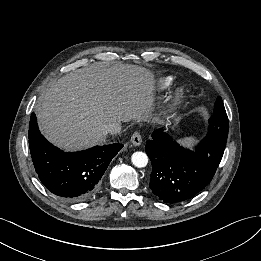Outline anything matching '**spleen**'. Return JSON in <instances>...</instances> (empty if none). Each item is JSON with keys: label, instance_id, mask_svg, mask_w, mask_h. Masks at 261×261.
Instances as JSON below:
<instances>
[{"label": "spleen", "instance_id": "3e777b00", "mask_svg": "<svg viewBox=\"0 0 261 261\" xmlns=\"http://www.w3.org/2000/svg\"><path fill=\"white\" fill-rule=\"evenodd\" d=\"M184 144L188 145V146H191L192 144L195 143L196 141V138L195 137H187L183 140H181Z\"/></svg>", "mask_w": 261, "mask_h": 261}]
</instances>
